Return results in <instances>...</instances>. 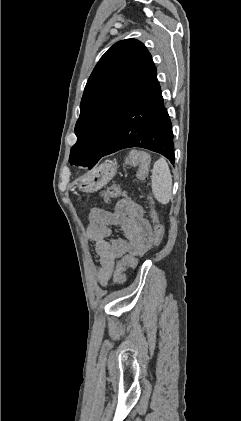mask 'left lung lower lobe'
Returning <instances> with one entry per match:
<instances>
[{
    "instance_id": "1",
    "label": "left lung lower lobe",
    "mask_w": 241,
    "mask_h": 421,
    "mask_svg": "<svg viewBox=\"0 0 241 421\" xmlns=\"http://www.w3.org/2000/svg\"><path fill=\"white\" fill-rule=\"evenodd\" d=\"M170 117L150 59L120 119L117 130L101 157L130 147H141L162 154L173 164L174 143ZM97 160L87 162L91 169Z\"/></svg>"
}]
</instances>
